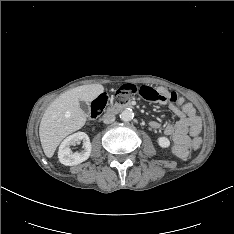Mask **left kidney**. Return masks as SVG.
I'll return each instance as SVG.
<instances>
[{"label":"left kidney","instance_id":"obj_1","mask_svg":"<svg viewBox=\"0 0 234 234\" xmlns=\"http://www.w3.org/2000/svg\"><path fill=\"white\" fill-rule=\"evenodd\" d=\"M158 144L162 148H168L170 146V141L167 137H159L158 138Z\"/></svg>","mask_w":234,"mask_h":234}]
</instances>
